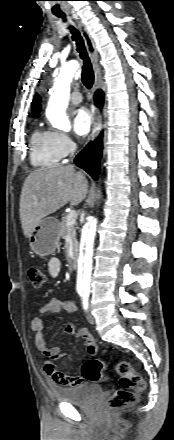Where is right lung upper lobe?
<instances>
[{
	"label": "right lung upper lobe",
	"instance_id": "right-lung-upper-lobe-1",
	"mask_svg": "<svg viewBox=\"0 0 174 440\" xmlns=\"http://www.w3.org/2000/svg\"><path fill=\"white\" fill-rule=\"evenodd\" d=\"M40 102H41L40 97L36 95L32 102V113L35 117H37L38 113L40 112L41 109Z\"/></svg>",
	"mask_w": 174,
	"mask_h": 440
}]
</instances>
